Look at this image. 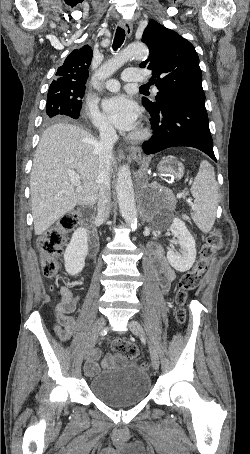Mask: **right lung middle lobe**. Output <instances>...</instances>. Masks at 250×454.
<instances>
[{
    "mask_svg": "<svg viewBox=\"0 0 250 454\" xmlns=\"http://www.w3.org/2000/svg\"><path fill=\"white\" fill-rule=\"evenodd\" d=\"M85 90L72 95L49 90L47 95L45 121L50 122L61 116L77 119L82 107V98Z\"/></svg>",
    "mask_w": 250,
    "mask_h": 454,
    "instance_id": "1",
    "label": "right lung middle lobe"
}]
</instances>
